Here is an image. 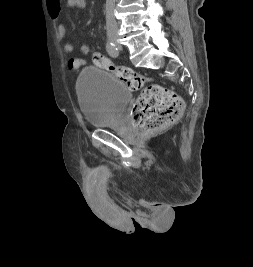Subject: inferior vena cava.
<instances>
[{
  "label": "inferior vena cava",
  "mask_w": 253,
  "mask_h": 267,
  "mask_svg": "<svg viewBox=\"0 0 253 267\" xmlns=\"http://www.w3.org/2000/svg\"><path fill=\"white\" fill-rule=\"evenodd\" d=\"M116 0H106V28L112 30L117 28L116 20L114 18V8Z\"/></svg>",
  "instance_id": "602c4592"
}]
</instances>
